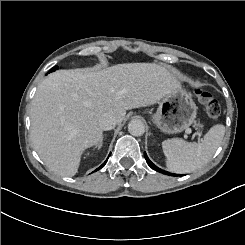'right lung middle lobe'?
I'll return each mask as SVG.
<instances>
[{
  "label": "right lung middle lobe",
  "instance_id": "obj_1",
  "mask_svg": "<svg viewBox=\"0 0 245 245\" xmlns=\"http://www.w3.org/2000/svg\"><path fill=\"white\" fill-rule=\"evenodd\" d=\"M56 69H58V67L56 66V67H54V68H52L48 73H50V72H52V71H55Z\"/></svg>",
  "mask_w": 245,
  "mask_h": 245
}]
</instances>
